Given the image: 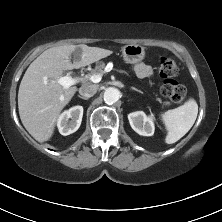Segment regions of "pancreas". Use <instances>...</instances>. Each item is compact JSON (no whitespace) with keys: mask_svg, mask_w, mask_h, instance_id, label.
I'll list each match as a JSON object with an SVG mask.
<instances>
[{"mask_svg":"<svg viewBox=\"0 0 222 222\" xmlns=\"http://www.w3.org/2000/svg\"><path fill=\"white\" fill-rule=\"evenodd\" d=\"M104 67H105V63L104 62H99L96 67L94 68V70L92 71V74H100L103 75L104 74ZM157 100L159 102H161L160 98H157ZM164 105H170V102L166 101L164 102Z\"/></svg>","mask_w":222,"mask_h":222,"instance_id":"1","label":"pancreas"}]
</instances>
